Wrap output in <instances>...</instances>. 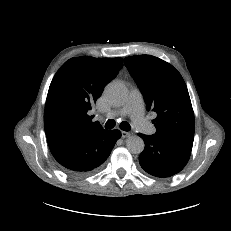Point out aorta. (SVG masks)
Instances as JSON below:
<instances>
[{
  "label": "aorta",
  "instance_id": "762f6f07",
  "mask_svg": "<svg viewBox=\"0 0 231 231\" xmlns=\"http://www.w3.org/2000/svg\"><path fill=\"white\" fill-rule=\"evenodd\" d=\"M105 96L112 104H121L127 97L126 87L121 82H111L105 88ZM126 147L132 154H140L144 150L145 144L139 136H131L126 140Z\"/></svg>",
  "mask_w": 231,
  "mask_h": 231
}]
</instances>
